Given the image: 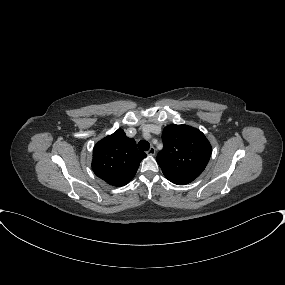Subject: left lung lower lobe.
Wrapping results in <instances>:
<instances>
[{"mask_svg": "<svg viewBox=\"0 0 285 285\" xmlns=\"http://www.w3.org/2000/svg\"><path fill=\"white\" fill-rule=\"evenodd\" d=\"M169 181H171L174 184L177 185H185L188 184L190 182H192L193 180L190 179H185V178H180V177H172V176H165Z\"/></svg>", "mask_w": 285, "mask_h": 285, "instance_id": "left-lung-lower-lobe-1", "label": "left lung lower lobe"}]
</instances>
